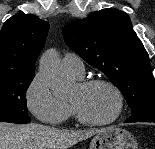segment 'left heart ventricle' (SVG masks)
Segmentation results:
<instances>
[{
  "mask_svg": "<svg viewBox=\"0 0 155 149\" xmlns=\"http://www.w3.org/2000/svg\"><path fill=\"white\" fill-rule=\"evenodd\" d=\"M81 113L93 121H104L113 116L116 110V97L106 86L97 85L87 89L79 85L70 98Z\"/></svg>",
  "mask_w": 155,
  "mask_h": 149,
  "instance_id": "obj_1",
  "label": "left heart ventricle"
}]
</instances>
